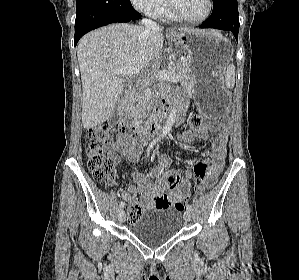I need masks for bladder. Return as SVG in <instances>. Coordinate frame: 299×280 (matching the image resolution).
<instances>
[{"label": "bladder", "instance_id": "31cf9c89", "mask_svg": "<svg viewBox=\"0 0 299 280\" xmlns=\"http://www.w3.org/2000/svg\"><path fill=\"white\" fill-rule=\"evenodd\" d=\"M182 215L173 208H150L130 225L131 234L149 246L160 245L180 231Z\"/></svg>", "mask_w": 299, "mask_h": 280}]
</instances>
